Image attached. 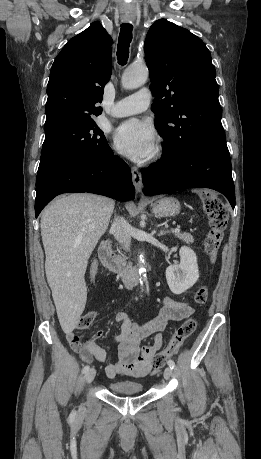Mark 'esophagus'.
I'll return each mask as SVG.
<instances>
[{
  "mask_svg": "<svg viewBox=\"0 0 261 459\" xmlns=\"http://www.w3.org/2000/svg\"><path fill=\"white\" fill-rule=\"evenodd\" d=\"M127 21L130 22L131 20L127 19ZM131 172H132V179H133V184H134L136 192L142 193L143 182H142L141 172L136 167H132Z\"/></svg>",
  "mask_w": 261,
  "mask_h": 459,
  "instance_id": "34e87169",
  "label": "esophagus"
}]
</instances>
